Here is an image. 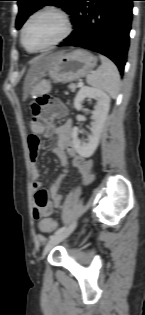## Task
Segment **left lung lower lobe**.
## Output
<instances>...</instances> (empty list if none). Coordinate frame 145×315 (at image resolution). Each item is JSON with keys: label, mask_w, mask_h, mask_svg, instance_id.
Listing matches in <instances>:
<instances>
[{"label": "left lung lower lobe", "mask_w": 145, "mask_h": 315, "mask_svg": "<svg viewBox=\"0 0 145 315\" xmlns=\"http://www.w3.org/2000/svg\"><path fill=\"white\" fill-rule=\"evenodd\" d=\"M134 0H78L74 31L59 46H78L110 58L121 74L127 61Z\"/></svg>", "instance_id": "obj_1"}]
</instances>
